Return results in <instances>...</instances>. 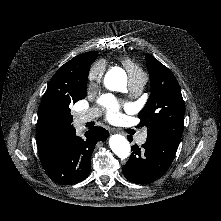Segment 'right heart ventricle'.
<instances>
[{
	"instance_id": "e07e8e85",
	"label": "right heart ventricle",
	"mask_w": 221,
	"mask_h": 221,
	"mask_svg": "<svg viewBox=\"0 0 221 221\" xmlns=\"http://www.w3.org/2000/svg\"><path fill=\"white\" fill-rule=\"evenodd\" d=\"M122 63L124 65V67L126 68V70L128 71L130 78L140 75V74H144L143 71L141 70V68L137 64L132 62L131 60L123 59Z\"/></svg>"
}]
</instances>
